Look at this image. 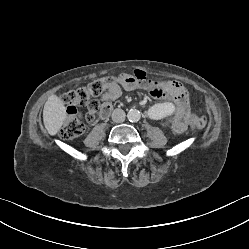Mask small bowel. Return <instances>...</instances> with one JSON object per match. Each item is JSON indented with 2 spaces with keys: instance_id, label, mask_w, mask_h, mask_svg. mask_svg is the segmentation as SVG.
<instances>
[{
  "instance_id": "small-bowel-1",
  "label": "small bowel",
  "mask_w": 249,
  "mask_h": 249,
  "mask_svg": "<svg viewBox=\"0 0 249 249\" xmlns=\"http://www.w3.org/2000/svg\"><path fill=\"white\" fill-rule=\"evenodd\" d=\"M118 79V83L105 89L100 95L102 110L99 117L101 119H105L110 115L113 102L121 96L122 90L133 91L143 87L152 93L153 100H160L161 96L166 95L176 102L178 114L172 120V129L175 133H182L192 125V109L186 91L178 81H159L155 77L146 74L141 68H136L130 75L120 74Z\"/></svg>"
}]
</instances>
